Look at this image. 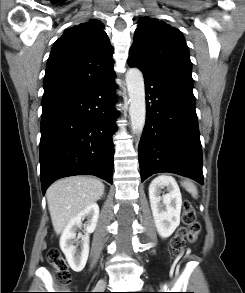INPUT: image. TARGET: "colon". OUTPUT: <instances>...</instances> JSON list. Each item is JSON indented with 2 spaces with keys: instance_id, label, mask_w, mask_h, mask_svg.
Wrapping results in <instances>:
<instances>
[{
  "instance_id": "colon-1",
  "label": "colon",
  "mask_w": 245,
  "mask_h": 293,
  "mask_svg": "<svg viewBox=\"0 0 245 293\" xmlns=\"http://www.w3.org/2000/svg\"><path fill=\"white\" fill-rule=\"evenodd\" d=\"M183 222L184 226L177 229L171 240V247L176 255L182 254L186 241H196L201 230V226L195 217V211L189 201L183 202ZM47 259L56 270V280L61 284H69L71 275L60 251L58 249L49 250Z\"/></svg>"
}]
</instances>
